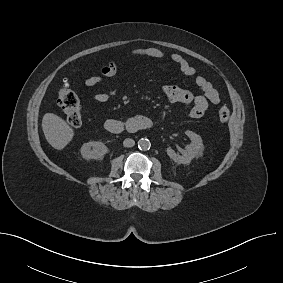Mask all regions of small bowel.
<instances>
[{
	"mask_svg": "<svg viewBox=\"0 0 283 283\" xmlns=\"http://www.w3.org/2000/svg\"><path fill=\"white\" fill-rule=\"evenodd\" d=\"M129 57H146L158 60L168 59L187 77H194L195 83L201 94L193 95L190 91L175 85H165L161 88L163 95L173 103H179L190 107V116L192 118H201L208 109L209 104H218L220 96L217 89L204 76L196 75L195 68L188 63L180 54H166L155 47H140L129 51ZM118 71V60H110L100 69L99 75H94L84 80L86 87L104 85L106 80L115 77ZM117 93L115 87L108 88L105 91L96 93L92 99L96 103H105L114 97Z\"/></svg>",
	"mask_w": 283,
	"mask_h": 283,
	"instance_id": "c3829d8e",
	"label": "small bowel"
}]
</instances>
